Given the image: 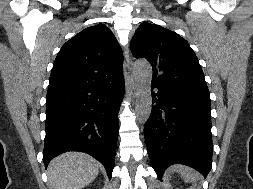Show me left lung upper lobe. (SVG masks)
Segmentation results:
<instances>
[{
  "label": "left lung upper lobe",
  "instance_id": "left-lung-upper-lobe-1",
  "mask_svg": "<svg viewBox=\"0 0 253 189\" xmlns=\"http://www.w3.org/2000/svg\"><path fill=\"white\" fill-rule=\"evenodd\" d=\"M136 58L153 68L152 84L210 103L209 90L198 58L188 42L159 25L142 23L131 41Z\"/></svg>",
  "mask_w": 253,
  "mask_h": 189
}]
</instances>
